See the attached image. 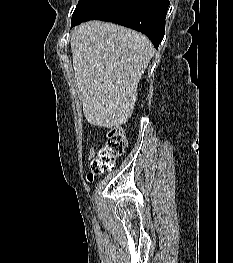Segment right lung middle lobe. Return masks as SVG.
<instances>
[{"mask_svg":"<svg viewBox=\"0 0 233 263\" xmlns=\"http://www.w3.org/2000/svg\"><path fill=\"white\" fill-rule=\"evenodd\" d=\"M124 0H79L72 16V24L109 17Z\"/></svg>","mask_w":233,"mask_h":263,"instance_id":"obj_1","label":"right lung middle lobe"}]
</instances>
